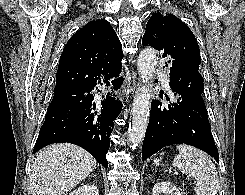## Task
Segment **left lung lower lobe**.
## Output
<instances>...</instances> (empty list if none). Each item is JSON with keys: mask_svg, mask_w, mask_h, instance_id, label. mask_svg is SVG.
<instances>
[{"mask_svg": "<svg viewBox=\"0 0 245 195\" xmlns=\"http://www.w3.org/2000/svg\"><path fill=\"white\" fill-rule=\"evenodd\" d=\"M170 87L179 98L176 103L170 104L152 100L142 160L165 146L185 143L207 152L219 162L202 93L192 88Z\"/></svg>", "mask_w": 245, "mask_h": 195, "instance_id": "obj_1", "label": "left lung lower lobe"}]
</instances>
